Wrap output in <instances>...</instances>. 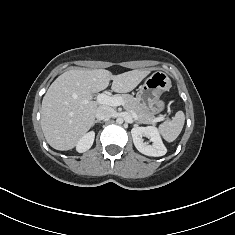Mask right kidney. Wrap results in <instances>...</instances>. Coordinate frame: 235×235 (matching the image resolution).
Returning <instances> with one entry per match:
<instances>
[{
  "label": "right kidney",
  "mask_w": 235,
  "mask_h": 235,
  "mask_svg": "<svg viewBox=\"0 0 235 235\" xmlns=\"http://www.w3.org/2000/svg\"><path fill=\"white\" fill-rule=\"evenodd\" d=\"M94 138H95V133L93 131L86 133L77 142L76 150L79 153H83L89 150L94 142Z\"/></svg>",
  "instance_id": "obj_1"
}]
</instances>
